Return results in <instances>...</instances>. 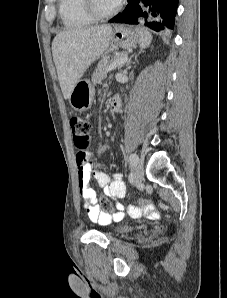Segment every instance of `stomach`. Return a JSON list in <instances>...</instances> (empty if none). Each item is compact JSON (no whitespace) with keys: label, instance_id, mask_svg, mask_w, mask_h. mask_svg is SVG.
<instances>
[{"label":"stomach","instance_id":"obj_1","mask_svg":"<svg viewBox=\"0 0 227 298\" xmlns=\"http://www.w3.org/2000/svg\"><path fill=\"white\" fill-rule=\"evenodd\" d=\"M140 35L137 30L125 26H116L111 36V42L123 49L133 48L139 43ZM94 86L88 80H80L74 86L69 103L76 111L83 112L91 108L94 98Z\"/></svg>","mask_w":227,"mask_h":298}]
</instances>
